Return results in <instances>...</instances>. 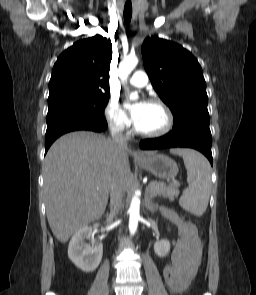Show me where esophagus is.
<instances>
[{
    "instance_id": "esophagus-1",
    "label": "esophagus",
    "mask_w": 256,
    "mask_h": 295,
    "mask_svg": "<svg viewBox=\"0 0 256 295\" xmlns=\"http://www.w3.org/2000/svg\"><path fill=\"white\" fill-rule=\"evenodd\" d=\"M135 156H136L137 158H141V157H142V155H141L139 152H136Z\"/></svg>"
}]
</instances>
